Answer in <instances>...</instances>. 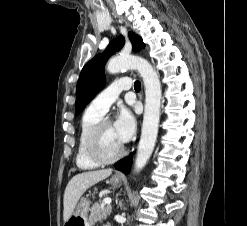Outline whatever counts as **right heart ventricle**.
I'll list each match as a JSON object with an SVG mask.
<instances>
[{"mask_svg": "<svg viewBox=\"0 0 247 226\" xmlns=\"http://www.w3.org/2000/svg\"><path fill=\"white\" fill-rule=\"evenodd\" d=\"M102 119V115L87 108L84 112L77 140L76 165L82 170H90L98 167L99 164L92 161L85 150V140L90 130Z\"/></svg>", "mask_w": 247, "mask_h": 226, "instance_id": "obj_1", "label": "right heart ventricle"}]
</instances>
